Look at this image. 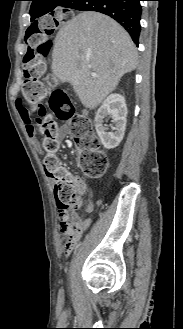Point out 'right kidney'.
Instances as JSON below:
<instances>
[{
	"label": "right kidney",
	"instance_id": "obj_1",
	"mask_svg": "<svg viewBox=\"0 0 183 329\" xmlns=\"http://www.w3.org/2000/svg\"><path fill=\"white\" fill-rule=\"evenodd\" d=\"M127 106L125 98L120 94L109 95L98 109L95 116V129L104 148L113 149L122 141L126 129ZM111 118L115 126L108 131L104 118Z\"/></svg>",
	"mask_w": 183,
	"mask_h": 329
}]
</instances>
